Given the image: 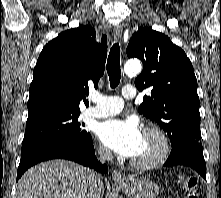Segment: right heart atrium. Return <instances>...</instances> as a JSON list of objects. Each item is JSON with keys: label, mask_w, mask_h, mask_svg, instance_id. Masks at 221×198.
I'll list each match as a JSON object with an SVG mask.
<instances>
[{"label": "right heart atrium", "mask_w": 221, "mask_h": 198, "mask_svg": "<svg viewBox=\"0 0 221 198\" xmlns=\"http://www.w3.org/2000/svg\"><path fill=\"white\" fill-rule=\"evenodd\" d=\"M97 152L103 159H109L111 157V152L104 145H99Z\"/></svg>", "instance_id": "right-heart-atrium-1"}]
</instances>
